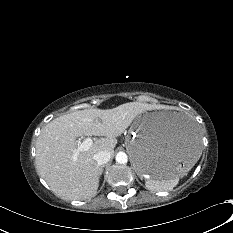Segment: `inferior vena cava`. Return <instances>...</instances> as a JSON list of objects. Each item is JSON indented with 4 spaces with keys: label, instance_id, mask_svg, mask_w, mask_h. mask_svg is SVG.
<instances>
[{
    "label": "inferior vena cava",
    "instance_id": "obj_1",
    "mask_svg": "<svg viewBox=\"0 0 233 233\" xmlns=\"http://www.w3.org/2000/svg\"><path fill=\"white\" fill-rule=\"evenodd\" d=\"M111 157V153L107 150L99 151L94 155V159L99 165L106 164Z\"/></svg>",
    "mask_w": 233,
    "mask_h": 233
}]
</instances>
